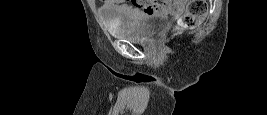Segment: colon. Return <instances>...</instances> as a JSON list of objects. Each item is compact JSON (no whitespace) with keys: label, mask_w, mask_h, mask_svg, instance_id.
Segmentation results:
<instances>
[{"label":"colon","mask_w":267,"mask_h":115,"mask_svg":"<svg viewBox=\"0 0 267 115\" xmlns=\"http://www.w3.org/2000/svg\"><path fill=\"white\" fill-rule=\"evenodd\" d=\"M206 10V3L203 1H188L185 13L181 19L182 24L187 27H194L198 23L199 18Z\"/></svg>","instance_id":"5ec220e1"}]
</instances>
